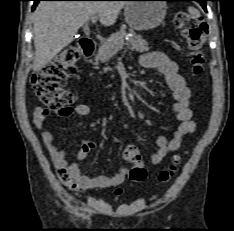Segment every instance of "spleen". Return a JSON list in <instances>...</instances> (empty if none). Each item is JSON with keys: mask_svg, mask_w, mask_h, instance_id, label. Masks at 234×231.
Masks as SVG:
<instances>
[{"mask_svg": "<svg viewBox=\"0 0 234 231\" xmlns=\"http://www.w3.org/2000/svg\"><path fill=\"white\" fill-rule=\"evenodd\" d=\"M188 11L194 17H198L200 15L199 11L195 9L194 7H189Z\"/></svg>", "mask_w": 234, "mask_h": 231, "instance_id": "1", "label": "spleen"}]
</instances>
